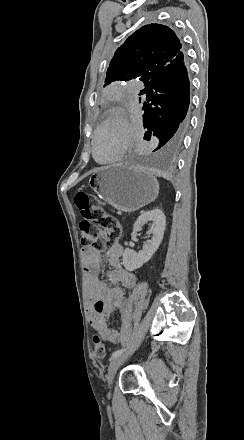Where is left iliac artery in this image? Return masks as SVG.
Masks as SVG:
<instances>
[{
    "label": "left iliac artery",
    "instance_id": "obj_1",
    "mask_svg": "<svg viewBox=\"0 0 244 440\" xmlns=\"http://www.w3.org/2000/svg\"><path fill=\"white\" fill-rule=\"evenodd\" d=\"M125 351H126L125 348L118 349V350L114 351L113 354H112V356H111V359H113V358H115V357L121 355V354L124 353Z\"/></svg>",
    "mask_w": 244,
    "mask_h": 440
}]
</instances>
